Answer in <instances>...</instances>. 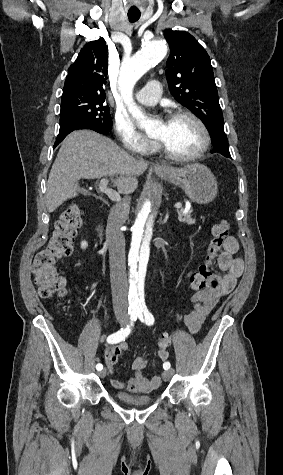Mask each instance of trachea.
Segmentation results:
<instances>
[{
	"instance_id": "trachea-1",
	"label": "trachea",
	"mask_w": 283,
	"mask_h": 475,
	"mask_svg": "<svg viewBox=\"0 0 283 475\" xmlns=\"http://www.w3.org/2000/svg\"><path fill=\"white\" fill-rule=\"evenodd\" d=\"M140 16H141L140 12H130V13H128L129 21L132 22V23L137 22V20H139Z\"/></svg>"
}]
</instances>
